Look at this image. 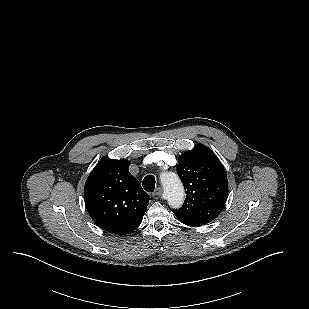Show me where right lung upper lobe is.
<instances>
[{"label":"right lung upper lobe","instance_id":"right-lung-upper-lobe-1","mask_svg":"<svg viewBox=\"0 0 309 309\" xmlns=\"http://www.w3.org/2000/svg\"><path fill=\"white\" fill-rule=\"evenodd\" d=\"M127 160L103 158L90 173L84 200L93 221L103 230L126 235L141 223L150 196L129 172Z\"/></svg>","mask_w":309,"mask_h":309}]
</instances>
